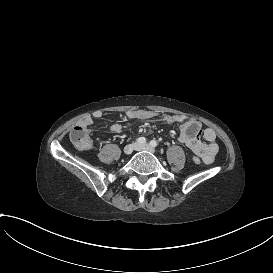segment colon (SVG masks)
<instances>
[{
    "label": "colon",
    "mask_w": 273,
    "mask_h": 273,
    "mask_svg": "<svg viewBox=\"0 0 273 273\" xmlns=\"http://www.w3.org/2000/svg\"><path fill=\"white\" fill-rule=\"evenodd\" d=\"M91 127V120L88 118H82L79 120L75 129L70 131L69 138L73 142V146L76 150L83 151L94 147V138L91 136H86Z\"/></svg>",
    "instance_id": "5ec220e1"
}]
</instances>
